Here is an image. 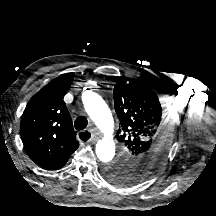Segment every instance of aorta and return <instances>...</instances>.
<instances>
[{
	"mask_svg": "<svg viewBox=\"0 0 216 216\" xmlns=\"http://www.w3.org/2000/svg\"><path fill=\"white\" fill-rule=\"evenodd\" d=\"M83 104L87 114L104 136L96 144V155L100 161L109 163L115 156L114 122L111 111L101 96L94 92L83 96Z\"/></svg>",
	"mask_w": 216,
	"mask_h": 216,
	"instance_id": "1",
	"label": "aorta"
}]
</instances>
